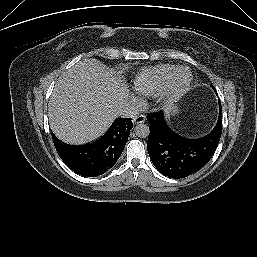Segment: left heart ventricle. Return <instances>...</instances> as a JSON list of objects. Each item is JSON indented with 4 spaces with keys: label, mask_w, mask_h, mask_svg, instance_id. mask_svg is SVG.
Segmentation results:
<instances>
[{
    "label": "left heart ventricle",
    "mask_w": 257,
    "mask_h": 257,
    "mask_svg": "<svg viewBox=\"0 0 257 257\" xmlns=\"http://www.w3.org/2000/svg\"><path fill=\"white\" fill-rule=\"evenodd\" d=\"M186 79V74L181 73L180 75L177 76V78L175 79V85H181L182 83H184Z\"/></svg>",
    "instance_id": "1"
}]
</instances>
